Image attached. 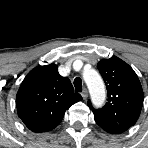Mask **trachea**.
I'll use <instances>...</instances> for the list:
<instances>
[{
	"label": "trachea",
	"instance_id": "3493384b",
	"mask_svg": "<svg viewBox=\"0 0 148 148\" xmlns=\"http://www.w3.org/2000/svg\"><path fill=\"white\" fill-rule=\"evenodd\" d=\"M74 87H75V91L82 92V80H81V78L76 77L74 79Z\"/></svg>",
	"mask_w": 148,
	"mask_h": 148
}]
</instances>
